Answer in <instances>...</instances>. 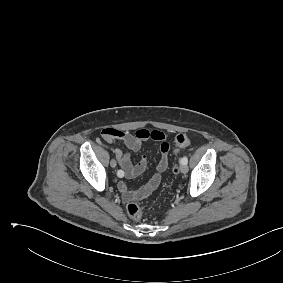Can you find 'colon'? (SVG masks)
<instances>
[{
	"instance_id": "5ec220e1",
	"label": "colon",
	"mask_w": 283,
	"mask_h": 283,
	"mask_svg": "<svg viewBox=\"0 0 283 283\" xmlns=\"http://www.w3.org/2000/svg\"><path fill=\"white\" fill-rule=\"evenodd\" d=\"M191 145L190 139L184 134H178L175 138L174 152H177L180 148H185ZM174 173H178L179 169L177 165H173ZM127 214L133 219H140L142 215L141 207L136 201H131L126 206Z\"/></svg>"
}]
</instances>
